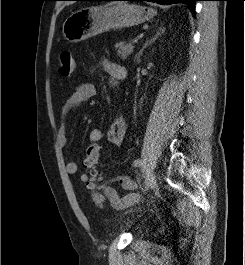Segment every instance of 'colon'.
<instances>
[{
    "mask_svg": "<svg viewBox=\"0 0 245 265\" xmlns=\"http://www.w3.org/2000/svg\"><path fill=\"white\" fill-rule=\"evenodd\" d=\"M75 71V61L70 52H63L59 57V73L65 77L70 78ZM99 145L98 144H89L85 157L83 160V165L90 171L91 180L88 184V187L92 191L93 200L97 205H101L103 202V194L99 192L101 186L98 184L100 180V172L97 170L99 163Z\"/></svg>",
    "mask_w": 245,
    "mask_h": 265,
    "instance_id": "1",
    "label": "colon"
}]
</instances>
